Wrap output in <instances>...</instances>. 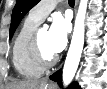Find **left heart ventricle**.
Masks as SVG:
<instances>
[{"instance_id":"b2bd125f","label":"left heart ventricle","mask_w":107,"mask_h":89,"mask_svg":"<svg viewBox=\"0 0 107 89\" xmlns=\"http://www.w3.org/2000/svg\"><path fill=\"white\" fill-rule=\"evenodd\" d=\"M39 41L41 49L47 57H51L52 55H54V53L51 51L49 47V30H40Z\"/></svg>"}]
</instances>
